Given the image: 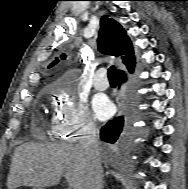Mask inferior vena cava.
<instances>
[{
	"instance_id": "1",
	"label": "inferior vena cava",
	"mask_w": 188,
	"mask_h": 189,
	"mask_svg": "<svg viewBox=\"0 0 188 189\" xmlns=\"http://www.w3.org/2000/svg\"><path fill=\"white\" fill-rule=\"evenodd\" d=\"M97 128L93 122H88L81 129L78 148L90 163V172L85 189H102L103 170L101 166V149L98 142Z\"/></svg>"
}]
</instances>
